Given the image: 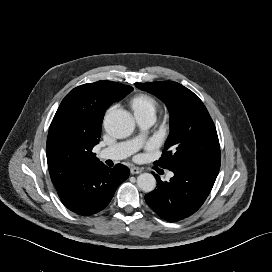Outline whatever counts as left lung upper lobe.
Wrapping results in <instances>:
<instances>
[{
	"label": "left lung upper lobe",
	"mask_w": 272,
	"mask_h": 272,
	"mask_svg": "<svg viewBox=\"0 0 272 272\" xmlns=\"http://www.w3.org/2000/svg\"><path fill=\"white\" fill-rule=\"evenodd\" d=\"M136 86L160 98L170 112V134L156 163L169 170L196 166L219 170V140L203 102L176 82L156 81Z\"/></svg>",
	"instance_id": "obj_1"
}]
</instances>
